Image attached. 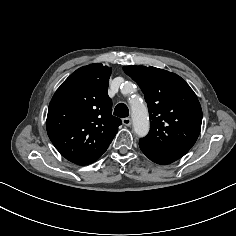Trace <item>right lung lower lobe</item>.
Returning a JSON list of instances; mask_svg holds the SVG:
<instances>
[{"label": "right lung lower lobe", "instance_id": "right-lung-lower-lobe-1", "mask_svg": "<svg viewBox=\"0 0 236 236\" xmlns=\"http://www.w3.org/2000/svg\"><path fill=\"white\" fill-rule=\"evenodd\" d=\"M66 159L78 165H87L96 161V160H82V159H76V158H66Z\"/></svg>", "mask_w": 236, "mask_h": 236}]
</instances>
